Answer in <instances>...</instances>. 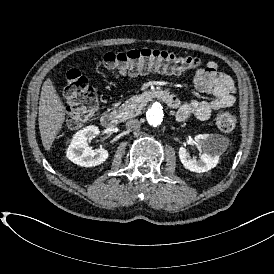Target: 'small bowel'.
<instances>
[{"instance_id":"c3829d8e","label":"small bowel","mask_w":274,"mask_h":274,"mask_svg":"<svg viewBox=\"0 0 274 274\" xmlns=\"http://www.w3.org/2000/svg\"><path fill=\"white\" fill-rule=\"evenodd\" d=\"M193 85L198 92L213 95L214 99L183 103L176 112V118L180 122L191 117L199 121H207L214 111L229 108L235 103L234 81L229 75L218 70V64L215 61H209L205 66L195 70Z\"/></svg>"}]
</instances>
